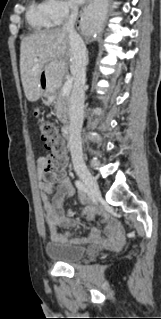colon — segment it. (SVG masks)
<instances>
[{
  "label": "colon",
  "mask_w": 161,
  "mask_h": 319,
  "mask_svg": "<svg viewBox=\"0 0 161 319\" xmlns=\"http://www.w3.org/2000/svg\"><path fill=\"white\" fill-rule=\"evenodd\" d=\"M39 131L46 144L52 149L44 166L48 181L63 177L69 163V158L63 148V140L56 126L52 123L39 121Z\"/></svg>",
  "instance_id": "obj_1"
}]
</instances>
